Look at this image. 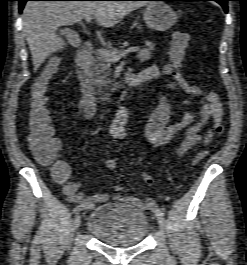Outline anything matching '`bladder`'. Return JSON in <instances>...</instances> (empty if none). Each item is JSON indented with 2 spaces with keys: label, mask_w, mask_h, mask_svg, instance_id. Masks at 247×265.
<instances>
[{
  "label": "bladder",
  "mask_w": 247,
  "mask_h": 265,
  "mask_svg": "<svg viewBox=\"0 0 247 265\" xmlns=\"http://www.w3.org/2000/svg\"><path fill=\"white\" fill-rule=\"evenodd\" d=\"M87 230L100 242L112 246L141 243L148 233L147 215L129 205L106 202L88 217Z\"/></svg>",
  "instance_id": "bladder-1"
}]
</instances>
